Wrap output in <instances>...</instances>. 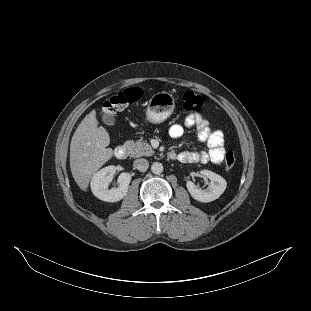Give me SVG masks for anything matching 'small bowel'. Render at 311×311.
<instances>
[{"instance_id":"obj_1","label":"small bowel","mask_w":311,"mask_h":311,"mask_svg":"<svg viewBox=\"0 0 311 311\" xmlns=\"http://www.w3.org/2000/svg\"><path fill=\"white\" fill-rule=\"evenodd\" d=\"M191 127L196 128L199 140L206 144L207 149L175 153V159L186 164L221 163L225 154L224 135L220 130H211L208 121L201 114L196 113L187 116L183 125L173 124L169 129V135L178 139L183 135L185 128Z\"/></svg>"}]
</instances>
